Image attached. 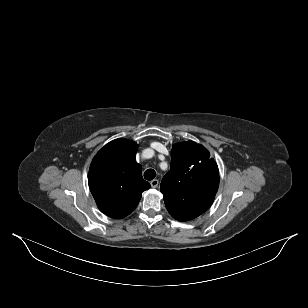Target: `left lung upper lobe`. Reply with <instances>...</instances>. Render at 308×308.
<instances>
[{
    "mask_svg": "<svg viewBox=\"0 0 308 308\" xmlns=\"http://www.w3.org/2000/svg\"><path fill=\"white\" fill-rule=\"evenodd\" d=\"M219 186L218 166L200 144L188 141L173 145L170 171L161 181L166 208L178 221L203 214Z\"/></svg>",
    "mask_w": 308,
    "mask_h": 308,
    "instance_id": "obj_1",
    "label": "left lung upper lobe"
}]
</instances>
